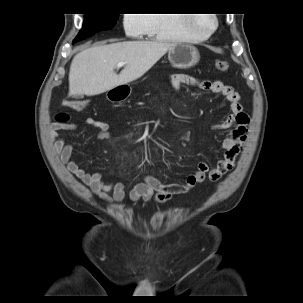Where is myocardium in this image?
Returning <instances> with one entry per match:
<instances>
[{
	"mask_svg": "<svg viewBox=\"0 0 303 303\" xmlns=\"http://www.w3.org/2000/svg\"><path fill=\"white\" fill-rule=\"evenodd\" d=\"M210 18L212 19L213 25L212 28L208 31V32H199L198 30H196V28L194 27L198 17L197 16H188V25L191 29V31L193 32L195 39H205V38H209L211 35L214 34V32L216 31L217 27H218V17L214 14L210 15Z\"/></svg>",
	"mask_w": 303,
	"mask_h": 303,
	"instance_id": "f54148a6",
	"label": "myocardium"
}]
</instances>
